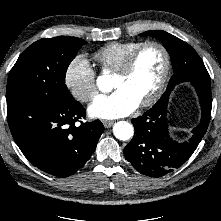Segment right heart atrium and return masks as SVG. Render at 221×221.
<instances>
[{
  "instance_id": "obj_1",
  "label": "right heart atrium",
  "mask_w": 221,
  "mask_h": 221,
  "mask_svg": "<svg viewBox=\"0 0 221 221\" xmlns=\"http://www.w3.org/2000/svg\"><path fill=\"white\" fill-rule=\"evenodd\" d=\"M65 83L73 97L81 102H87L95 96L96 71L86 56H77L69 63Z\"/></svg>"
}]
</instances>
